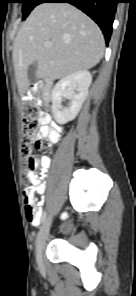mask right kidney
Here are the masks:
<instances>
[{"label":"right kidney","mask_w":136,"mask_h":296,"mask_svg":"<svg viewBox=\"0 0 136 296\" xmlns=\"http://www.w3.org/2000/svg\"><path fill=\"white\" fill-rule=\"evenodd\" d=\"M92 75L88 70H81L63 77L52 90V112L57 123L65 124L73 120L79 113L88 95ZM70 102L65 107L62 101Z\"/></svg>","instance_id":"obj_1"}]
</instances>
